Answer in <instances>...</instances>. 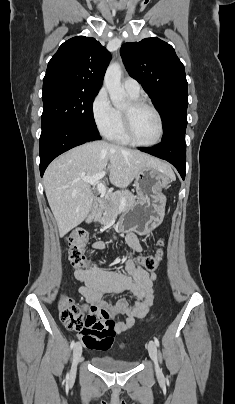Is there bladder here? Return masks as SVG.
<instances>
[{"instance_id":"31cf9c89","label":"bladder","mask_w":235,"mask_h":404,"mask_svg":"<svg viewBox=\"0 0 235 404\" xmlns=\"http://www.w3.org/2000/svg\"><path fill=\"white\" fill-rule=\"evenodd\" d=\"M91 363L98 369L107 372H126L133 369L135 361H126L112 355H94Z\"/></svg>"}]
</instances>
